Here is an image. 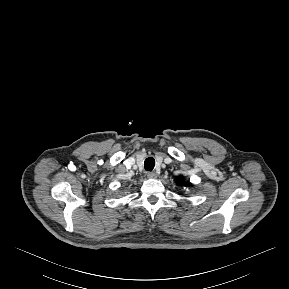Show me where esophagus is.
<instances>
[{"label": "esophagus", "instance_id": "34e87169", "mask_svg": "<svg viewBox=\"0 0 289 289\" xmlns=\"http://www.w3.org/2000/svg\"><path fill=\"white\" fill-rule=\"evenodd\" d=\"M156 176H157V175H156L155 172H148V173H147V177L150 178V179L156 178Z\"/></svg>", "mask_w": 289, "mask_h": 289}]
</instances>
